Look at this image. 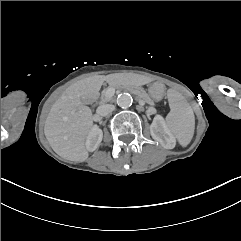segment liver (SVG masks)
<instances>
[{"mask_svg":"<svg viewBox=\"0 0 241 241\" xmlns=\"http://www.w3.org/2000/svg\"><path fill=\"white\" fill-rule=\"evenodd\" d=\"M120 74L95 75L69 86L54 102L47 116L44 134L52 149L61 157L76 162L89 158L87 138L93 130V115L84 106L98 95L104 82L115 86Z\"/></svg>","mask_w":241,"mask_h":241,"instance_id":"obj_1","label":"liver"}]
</instances>
